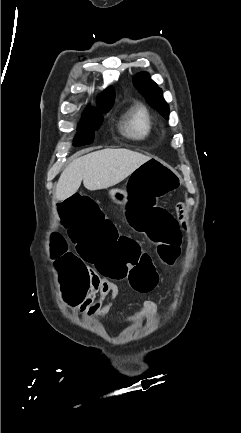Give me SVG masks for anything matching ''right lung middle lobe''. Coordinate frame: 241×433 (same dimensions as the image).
I'll return each mask as SVG.
<instances>
[{
  "mask_svg": "<svg viewBox=\"0 0 241 433\" xmlns=\"http://www.w3.org/2000/svg\"><path fill=\"white\" fill-rule=\"evenodd\" d=\"M112 105L92 110L87 108L83 114V120L78 126V134L75 138L74 145L81 146L89 144L94 139V131L97 130L102 123V113L108 112Z\"/></svg>",
  "mask_w": 241,
  "mask_h": 433,
  "instance_id": "obj_1",
  "label": "right lung middle lobe"
}]
</instances>
